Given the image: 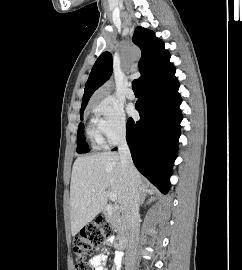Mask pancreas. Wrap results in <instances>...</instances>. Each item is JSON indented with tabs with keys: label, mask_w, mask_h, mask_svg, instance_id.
<instances>
[{
	"label": "pancreas",
	"mask_w": 242,
	"mask_h": 270,
	"mask_svg": "<svg viewBox=\"0 0 242 270\" xmlns=\"http://www.w3.org/2000/svg\"><path fill=\"white\" fill-rule=\"evenodd\" d=\"M106 219L120 235L125 233L127 226L123 216L118 211L114 210Z\"/></svg>",
	"instance_id": "pancreas-1"
}]
</instances>
